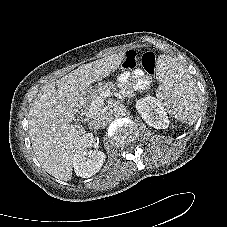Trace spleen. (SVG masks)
Wrapping results in <instances>:
<instances>
[{
	"mask_svg": "<svg viewBox=\"0 0 227 227\" xmlns=\"http://www.w3.org/2000/svg\"><path fill=\"white\" fill-rule=\"evenodd\" d=\"M159 100L169 114L193 125L200 115L201 93L187 69L176 59L160 55L157 61Z\"/></svg>",
	"mask_w": 227,
	"mask_h": 227,
	"instance_id": "1",
	"label": "spleen"
}]
</instances>
